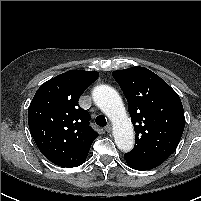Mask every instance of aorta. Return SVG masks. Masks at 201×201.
I'll use <instances>...</instances> for the list:
<instances>
[{"label": "aorta", "mask_w": 201, "mask_h": 201, "mask_svg": "<svg viewBox=\"0 0 201 201\" xmlns=\"http://www.w3.org/2000/svg\"><path fill=\"white\" fill-rule=\"evenodd\" d=\"M92 97L111 120L117 147L124 152L131 151L134 146V129L118 92L111 86L99 85L93 89Z\"/></svg>", "instance_id": "aorta-1"}]
</instances>
